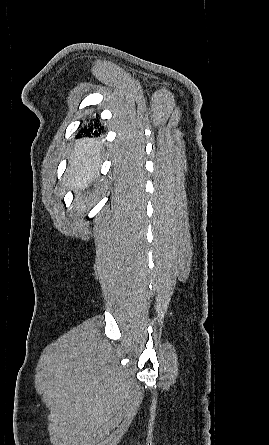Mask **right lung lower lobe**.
Masks as SVG:
<instances>
[{
	"mask_svg": "<svg viewBox=\"0 0 269 445\" xmlns=\"http://www.w3.org/2000/svg\"><path fill=\"white\" fill-rule=\"evenodd\" d=\"M102 131V127L100 126L99 119H91L88 123L82 128L80 131L83 135L91 136L94 135L96 137L100 136ZM81 136V135H79Z\"/></svg>",
	"mask_w": 269,
	"mask_h": 445,
	"instance_id": "obj_1",
	"label": "right lung lower lobe"
}]
</instances>
